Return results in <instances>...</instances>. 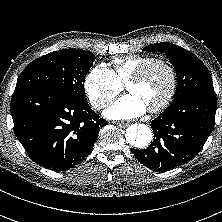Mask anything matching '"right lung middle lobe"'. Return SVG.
<instances>
[{
    "label": "right lung middle lobe",
    "mask_w": 222,
    "mask_h": 222,
    "mask_svg": "<svg viewBox=\"0 0 222 222\" xmlns=\"http://www.w3.org/2000/svg\"><path fill=\"white\" fill-rule=\"evenodd\" d=\"M94 54L81 49H62L32 61L17 80V89H44L86 101L84 80Z\"/></svg>",
    "instance_id": "1"
}]
</instances>
